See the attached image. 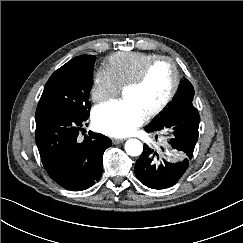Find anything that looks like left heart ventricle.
<instances>
[{
    "instance_id": "left-heart-ventricle-1",
    "label": "left heart ventricle",
    "mask_w": 243,
    "mask_h": 243,
    "mask_svg": "<svg viewBox=\"0 0 243 243\" xmlns=\"http://www.w3.org/2000/svg\"><path fill=\"white\" fill-rule=\"evenodd\" d=\"M174 80V71L170 63L159 62L150 70L145 82L136 89H126L123 97L133 102L147 115L156 109L168 96Z\"/></svg>"
}]
</instances>
